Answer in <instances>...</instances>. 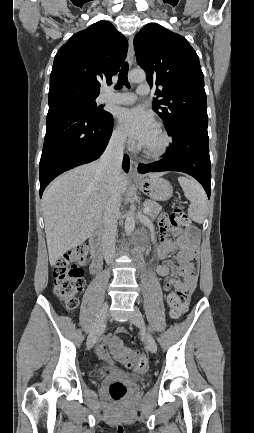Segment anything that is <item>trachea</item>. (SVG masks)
<instances>
[{"label":"trachea","instance_id":"trachea-1","mask_svg":"<svg viewBox=\"0 0 254 433\" xmlns=\"http://www.w3.org/2000/svg\"><path fill=\"white\" fill-rule=\"evenodd\" d=\"M128 70H129V66L128 63L126 62L121 67V70L119 72V77H118V83L116 84L115 89H120L123 85L129 87L128 78H127Z\"/></svg>","mask_w":254,"mask_h":433}]
</instances>
